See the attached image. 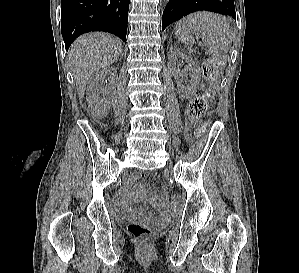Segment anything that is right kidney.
I'll use <instances>...</instances> for the list:
<instances>
[{
  "instance_id": "obj_1",
  "label": "right kidney",
  "mask_w": 299,
  "mask_h": 273,
  "mask_svg": "<svg viewBox=\"0 0 299 273\" xmlns=\"http://www.w3.org/2000/svg\"><path fill=\"white\" fill-rule=\"evenodd\" d=\"M117 72L113 67H104L92 74L86 91V100L94 116L102 118L106 116L111 107L113 93L115 91L114 83L106 82V77L114 78Z\"/></svg>"
}]
</instances>
